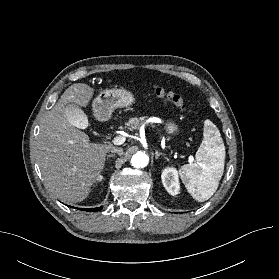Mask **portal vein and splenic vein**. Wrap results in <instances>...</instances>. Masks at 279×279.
<instances>
[{"mask_svg": "<svg viewBox=\"0 0 279 279\" xmlns=\"http://www.w3.org/2000/svg\"><path fill=\"white\" fill-rule=\"evenodd\" d=\"M125 140H126V138L124 136L119 135V136L114 137L112 142L114 145H121L125 142ZM192 161H193V159L189 158V162H192Z\"/></svg>", "mask_w": 279, "mask_h": 279, "instance_id": "1", "label": "portal vein and splenic vein"}]
</instances>
